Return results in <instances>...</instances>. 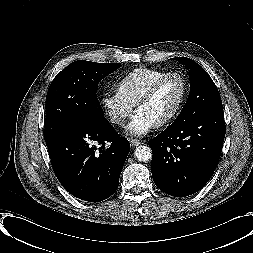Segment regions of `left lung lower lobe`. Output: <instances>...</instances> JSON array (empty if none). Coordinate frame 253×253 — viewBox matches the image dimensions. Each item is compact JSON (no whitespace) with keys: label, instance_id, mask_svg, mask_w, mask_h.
<instances>
[{"label":"left lung lower lobe","instance_id":"1","mask_svg":"<svg viewBox=\"0 0 253 253\" xmlns=\"http://www.w3.org/2000/svg\"><path fill=\"white\" fill-rule=\"evenodd\" d=\"M224 138L223 108L171 124L149 141L156 186L175 197L198 192L216 169Z\"/></svg>","mask_w":253,"mask_h":253}]
</instances>
